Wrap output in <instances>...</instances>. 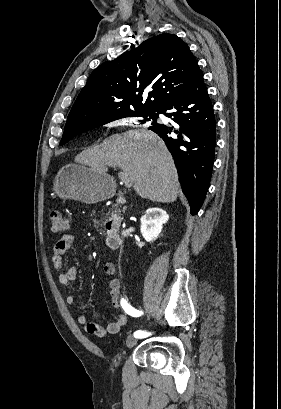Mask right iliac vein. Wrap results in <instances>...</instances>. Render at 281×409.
<instances>
[{
    "label": "right iliac vein",
    "mask_w": 281,
    "mask_h": 409,
    "mask_svg": "<svg viewBox=\"0 0 281 409\" xmlns=\"http://www.w3.org/2000/svg\"><path fill=\"white\" fill-rule=\"evenodd\" d=\"M137 339H135L134 337H132V336H129L128 338H127V341H126V345H127V347L128 348H132V347H134L136 344H137Z\"/></svg>",
    "instance_id": "1"
}]
</instances>
